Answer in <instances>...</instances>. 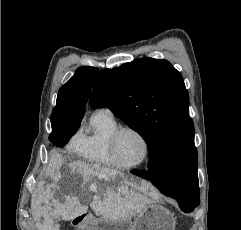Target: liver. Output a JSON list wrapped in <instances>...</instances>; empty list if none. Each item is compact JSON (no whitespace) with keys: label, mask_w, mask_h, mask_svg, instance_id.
Instances as JSON below:
<instances>
[{"label":"liver","mask_w":241,"mask_h":230,"mask_svg":"<svg viewBox=\"0 0 241 230\" xmlns=\"http://www.w3.org/2000/svg\"><path fill=\"white\" fill-rule=\"evenodd\" d=\"M50 164L53 184L44 188L41 183L31 198V212L38 230H59L60 226L54 223L53 218L72 220L87 212L88 207L81 204L78 197L68 196L66 201L61 203L54 198V191L51 190H55L58 183L69 190L71 181H75L78 176L83 178L80 184L81 191L95 193L90 206L102 219L128 221L144 211L152 202V194L148 192L145 184L138 185L126 181L124 184L115 185L114 177L122 175L118 170L74 161L67 164L66 170L61 173L64 160L58 154L52 156ZM41 217H44L42 223Z\"/></svg>","instance_id":"6515ba94"}]
</instances>
